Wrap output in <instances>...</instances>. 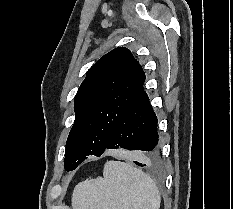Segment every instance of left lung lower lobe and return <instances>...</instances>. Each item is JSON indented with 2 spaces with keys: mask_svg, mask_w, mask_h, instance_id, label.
I'll list each match as a JSON object with an SVG mask.
<instances>
[{
  "mask_svg": "<svg viewBox=\"0 0 233 209\" xmlns=\"http://www.w3.org/2000/svg\"><path fill=\"white\" fill-rule=\"evenodd\" d=\"M157 117L150 105L143 84L122 118L114 126L106 145L109 149L124 148L145 151L146 158L135 163L144 167L158 161Z\"/></svg>",
  "mask_w": 233,
  "mask_h": 209,
  "instance_id": "1",
  "label": "left lung lower lobe"
}]
</instances>
